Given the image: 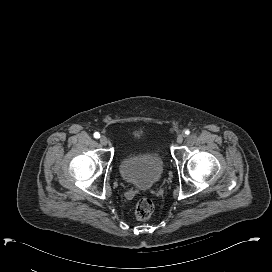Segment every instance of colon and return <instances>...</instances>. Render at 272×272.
I'll return each mask as SVG.
<instances>
[{"instance_id":"colon-1","label":"colon","mask_w":272,"mask_h":272,"mask_svg":"<svg viewBox=\"0 0 272 272\" xmlns=\"http://www.w3.org/2000/svg\"><path fill=\"white\" fill-rule=\"evenodd\" d=\"M154 210V204L152 200L147 196H140L135 203V216L140 220H146L150 218Z\"/></svg>"}]
</instances>
